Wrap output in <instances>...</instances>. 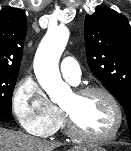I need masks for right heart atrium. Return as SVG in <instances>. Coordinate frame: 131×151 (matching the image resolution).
<instances>
[{
    "label": "right heart atrium",
    "mask_w": 131,
    "mask_h": 151,
    "mask_svg": "<svg viewBox=\"0 0 131 151\" xmlns=\"http://www.w3.org/2000/svg\"><path fill=\"white\" fill-rule=\"evenodd\" d=\"M12 109L22 129L36 136L52 134L62 117L59 108L30 76L23 77L15 87Z\"/></svg>",
    "instance_id": "1"
}]
</instances>
